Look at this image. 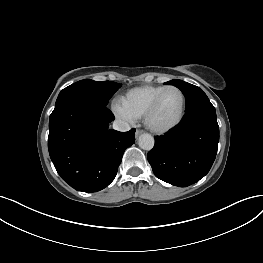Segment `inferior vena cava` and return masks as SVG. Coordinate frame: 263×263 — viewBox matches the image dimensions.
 Wrapping results in <instances>:
<instances>
[{
  "instance_id": "602c4592",
  "label": "inferior vena cava",
  "mask_w": 263,
  "mask_h": 263,
  "mask_svg": "<svg viewBox=\"0 0 263 263\" xmlns=\"http://www.w3.org/2000/svg\"><path fill=\"white\" fill-rule=\"evenodd\" d=\"M113 129L120 131V132H126L130 130V125L122 120H115L113 122Z\"/></svg>"
}]
</instances>
